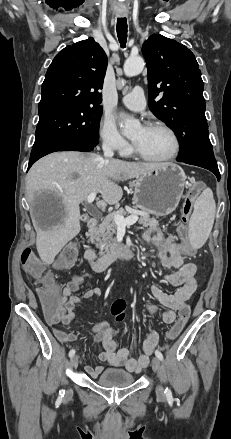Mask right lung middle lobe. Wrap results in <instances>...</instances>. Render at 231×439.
<instances>
[{"instance_id":"right-lung-middle-lobe-1","label":"right lung middle lobe","mask_w":231,"mask_h":439,"mask_svg":"<svg viewBox=\"0 0 231 439\" xmlns=\"http://www.w3.org/2000/svg\"><path fill=\"white\" fill-rule=\"evenodd\" d=\"M102 107L62 109L40 117L33 148L77 142L96 146Z\"/></svg>"}]
</instances>
